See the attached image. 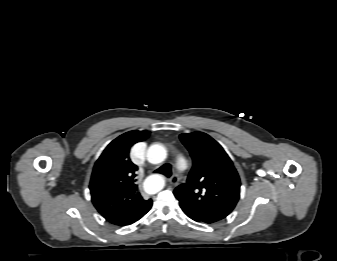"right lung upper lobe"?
<instances>
[{"instance_id":"cb5924a9","label":"right lung upper lobe","mask_w":337,"mask_h":261,"mask_svg":"<svg viewBox=\"0 0 337 261\" xmlns=\"http://www.w3.org/2000/svg\"><path fill=\"white\" fill-rule=\"evenodd\" d=\"M149 134V131H130L120 135L95 163L90 181L92 202L114 225L132 224L152 206V200H144L138 192V167L129 158L130 147L145 140Z\"/></svg>"}]
</instances>
